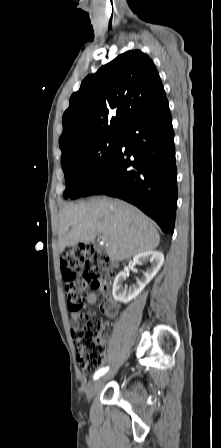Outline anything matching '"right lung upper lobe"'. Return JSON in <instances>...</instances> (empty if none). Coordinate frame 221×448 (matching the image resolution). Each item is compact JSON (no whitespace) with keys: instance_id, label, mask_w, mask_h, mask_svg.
<instances>
[{"instance_id":"right-lung-upper-lobe-1","label":"right lung upper lobe","mask_w":221,"mask_h":448,"mask_svg":"<svg viewBox=\"0 0 221 448\" xmlns=\"http://www.w3.org/2000/svg\"><path fill=\"white\" fill-rule=\"evenodd\" d=\"M164 97L159 74L146 54L133 50L119 55L88 75L72 94L62 119V158L94 139L119 134Z\"/></svg>"}]
</instances>
